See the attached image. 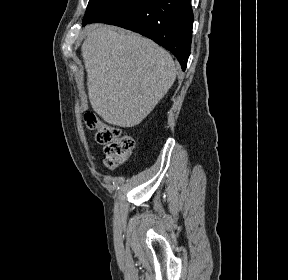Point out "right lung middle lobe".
Wrapping results in <instances>:
<instances>
[{
    "mask_svg": "<svg viewBox=\"0 0 288 280\" xmlns=\"http://www.w3.org/2000/svg\"><path fill=\"white\" fill-rule=\"evenodd\" d=\"M114 0H89L86 13L83 21L89 20L94 14H96L101 8L110 4Z\"/></svg>",
    "mask_w": 288,
    "mask_h": 280,
    "instance_id": "1",
    "label": "right lung middle lobe"
}]
</instances>
